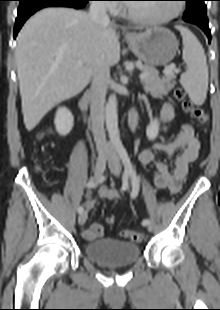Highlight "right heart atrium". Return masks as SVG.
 Listing matches in <instances>:
<instances>
[{"label":"right heart atrium","mask_w":220,"mask_h":310,"mask_svg":"<svg viewBox=\"0 0 220 310\" xmlns=\"http://www.w3.org/2000/svg\"><path fill=\"white\" fill-rule=\"evenodd\" d=\"M109 3L106 5V8L109 11L115 12L117 10V5L112 0H107Z\"/></svg>","instance_id":"d8ad5b80"}]
</instances>
